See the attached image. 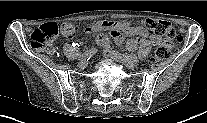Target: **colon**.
<instances>
[{
    "label": "colon",
    "instance_id": "5ec220e1",
    "mask_svg": "<svg viewBox=\"0 0 207 123\" xmlns=\"http://www.w3.org/2000/svg\"><path fill=\"white\" fill-rule=\"evenodd\" d=\"M140 24L152 32L164 36V42L154 52L152 62L159 63L164 61L169 56L170 50L178 45L180 37L176 34L172 26L164 20L147 18L141 20ZM78 30L79 26L76 23H67L61 28L55 23H47L31 33L30 44L33 48L53 52L54 48L52 42L60 31L67 36H73L78 32Z\"/></svg>",
    "mask_w": 207,
    "mask_h": 123
}]
</instances>
